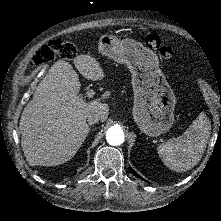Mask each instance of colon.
I'll list each match as a JSON object with an SVG mask.
<instances>
[{
  "label": "colon",
  "mask_w": 221,
  "mask_h": 221,
  "mask_svg": "<svg viewBox=\"0 0 221 221\" xmlns=\"http://www.w3.org/2000/svg\"><path fill=\"white\" fill-rule=\"evenodd\" d=\"M145 45L158 51L164 59L173 56L172 50L166 46L156 35H148L144 40ZM77 55V48L71 42L53 40L39 48L30 59V67L36 68L52 62L56 57L71 59Z\"/></svg>",
  "instance_id": "colon-1"
}]
</instances>
